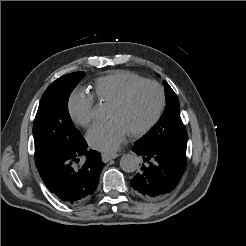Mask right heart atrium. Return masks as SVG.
<instances>
[{
	"mask_svg": "<svg viewBox=\"0 0 246 246\" xmlns=\"http://www.w3.org/2000/svg\"><path fill=\"white\" fill-rule=\"evenodd\" d=\"M67 108L71 119L79 126L87 127L94 121L95 100L85 91L75 90L68 99Z\"/></svg>",
	"mask_w": 246,
	"mask_h": 246,
	"instance_id": "1",
	"label": "right heart atrium"
}]
</instances>
